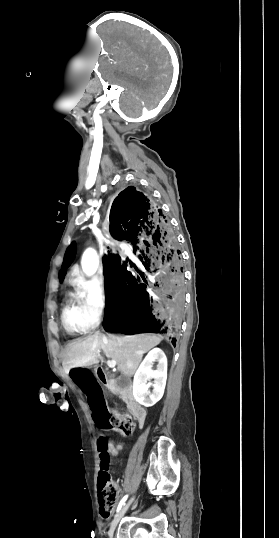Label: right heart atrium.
Returning <instances> with one entry per match:
<instances>
[{
  "mask_svg": "<svg viewBox=\"0 0 279 538\" xmlns=\"http://www.w3.org/2000/svg\"><path fill=\"white\" fill-rule=\"evenodd\" d=\"M80 296L84 303V318L87 330L94 329L101 323L107 309L106 290L102 283L97 278H94L87 283Z\"/></svg>",
  "mask_w": 279,
  "mask_h": 538,
  "instance_id": "d8ad5b80",
  "label": "right heart atrium"
}]
</instances>
